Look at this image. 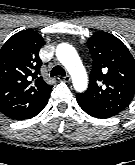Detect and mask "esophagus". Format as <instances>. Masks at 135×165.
I'll return each mask as SVG.
<instances>
[{
	"mask_svg": "<svg viewBox=\"0 0 135 165\" xmlns=\"http://www.w3.org/2000/svg\"><path fill=\"white\" fill-rule=\"evenodd\" d=\"M58 79L60 81H64V82H69L71 80V77L69 75L66 76H58Z\"/></svg>",
	"mask_w": 135,
	"mask_h": 165,
	"instance_id": "obj_1",
	"label": "esophagus"
}]
</instances>
